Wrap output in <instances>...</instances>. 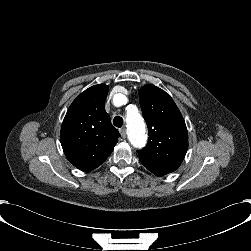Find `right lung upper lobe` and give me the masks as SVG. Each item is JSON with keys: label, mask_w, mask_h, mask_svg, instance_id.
<instances>
[{"label": "right lung upper lobe", "mask_w": 251, "mask_h": 251, "mask_svg": "<svg viewBox=\"0 0 251 251\" xmlns=\"http://www.w3.org/2000/svg\"><path fill=\"white\" fill-rule=\"evenodd\" d=\"M108 85H94L69 107L62 123L60 141L68 160L81 171L100 166L120 136L105 111Z\"/></svg>", "instance_id": "cb5924a9"}]
</instances>
